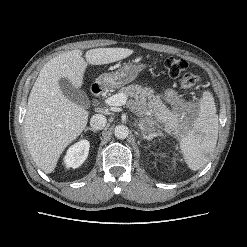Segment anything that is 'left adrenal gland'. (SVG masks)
<instances>
[{"label":"left adrenal gland","mask_w":247,"mask_h":247,"mask_svg":"<svg viewBox=\"0 0 247 247\" xmlns=\"http://www.w3.org/2000/svg\"><path fill=\"white\" fill-rule=\"evenodd\" d=\"M157 136H163L162 133H160L159 131L158 132H150L148 135H144L143 138L150 141L152 140L154 137H157Z\"/></svg>","instance_id":"left-adrenal-gland-1"}]
</instances>
